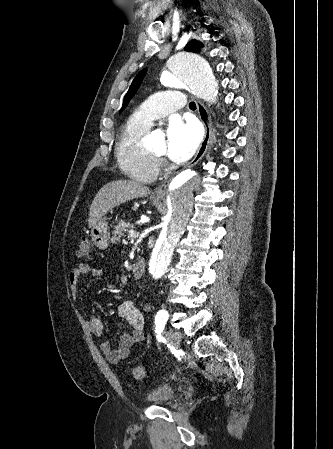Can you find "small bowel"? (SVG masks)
Segmentation results:
<instances>
[{"mask_svg": "<svg viewBox=\"0 0 333 449\" xmlns=\"http://www.w3.org/2000/svg\"><path fill=\"white\" fill-rule=\"evenodd\" d=\"M86 274H91L93 277H101L103 270L87 263H80L70 271L68 282L72 295L76 296L78 294L79 280ZM117 310L119 316L126 322L128 329L121 333L117 348H112L111 343L106 339H102L99 343L101 351L111 363H118L125 359L133 347L143 343L145 340L144 318L135 304L130 300L122 301L119 303ZM87 325L93 335L97 337L103 336L104 325L100 319L90 316Z\"/></svg>", "mask_w": 333, "mask_h": 449, "instance_id": "obj_1", "label": "small bowel"}]
</instances>
